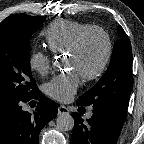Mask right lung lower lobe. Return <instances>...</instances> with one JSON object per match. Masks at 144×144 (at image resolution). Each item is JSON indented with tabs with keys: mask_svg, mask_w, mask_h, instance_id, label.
<instances>
[{
	"mask_svg": "<svg viewBox=\"0 0 144 144\" xmlns=\"http://www.w3.org/2000/svg\"><path fill=\"white\" fill-rule=\"evenodd\" d=\"M32 99L38 100L33 115L22 110L21 102L0 110V144H38L40 131L56 117L58 108L40 91Z\"/></svg>",
	"mask_w": 144,
	"mask_h": 144,
	"instance_id": "right-lung-lower-lobe-1",
	"label": "right lung lower lobe"
}]
</instances>
